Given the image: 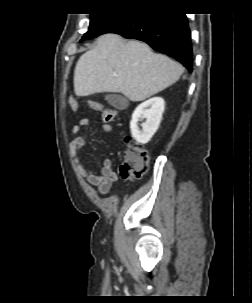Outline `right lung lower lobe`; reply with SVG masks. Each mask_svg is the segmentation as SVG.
<instances>
[{
    "label": "right lung lower lobe",
    "mask_w": 252,
    "mask_h": 303,
    "mask_svg": "<svg viewBox=\"0 0 252 303\" xmlns=\"http://www.w3.org/2000/svg\"><path fill=\"white\" fill-rule=\"evenodd\" d=\"M116 33L146 42L154 50L172 56L189 72L193 69L190 30L185 14L147 8L121 14L102 34Z\"/></svg>",
    "instance_id": "obj_1"
}]
</instances>
